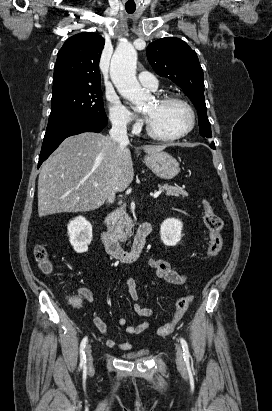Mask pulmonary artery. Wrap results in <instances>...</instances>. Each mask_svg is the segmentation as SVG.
Returning <instances> with one entry per match:
<instances>
[{
  "label": "pulmonary artery",
  "instance_id": "e3ab8cb5",
  "mask_svg": "<svg viewBox=\"0 0 272 411\" xmlns=\"http://www.w3.org/2000/svg\"><path fill=\"white\" fill-rule=\"evenodd\" d=\"M138 79L144 87L150 90H156L158 88L157 79L149 72H146V71L140 72L138 75Z\"/></svg>",
  "mask_w": 272,
  "mask_h": 411
}]
</instances>
